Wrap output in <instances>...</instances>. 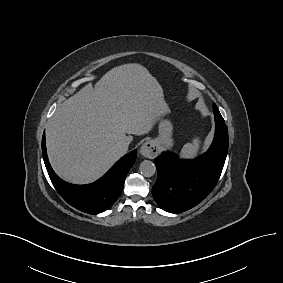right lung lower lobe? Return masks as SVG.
<instances>
[{
  "mask_svg": "<svg viewBox=\"0 0 283 283\" xmlns=\"http://www.w3.org/2000/svg\"><path fill=\"white\" fill-rule=\"evenodd\" d=\"M43 159L49 177L61 197L76 209L98 214L109 209L122 193L124 181L136 160V150L121 158L99 180L88 185H73L61 180L53 171L46 153L45 133L42 138Z\"/></svg>",
  "mask_w": 283,
  "mask_h": 283,
  "instance_id": "right-lung-lower-lobe-1",
  "label": "right lung lower lobe"
}]
</instances>
